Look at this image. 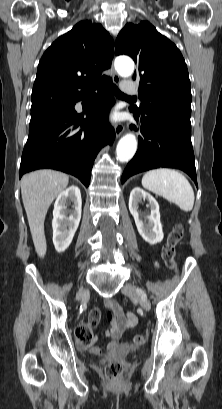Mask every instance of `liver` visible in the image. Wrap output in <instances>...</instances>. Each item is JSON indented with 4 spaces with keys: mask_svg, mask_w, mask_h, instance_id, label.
Instances as JSON below:
<instances>
[{
    "mask_svg": "<svg viewBox=\"0 0 222 409\" xmlns=\"http://www.w3.org/2000/svg\"><path fill=\"white\" fill-rule=\"evenodd\" d=\"M69 176L54 170H37L21 180L22 201L33 243L39 257L46 254L44 221L53 200L67 187Z\"/></svg>",
    "mask_w": 222,
    "mask_h": 409,
    "instance_id": "liver-1",
    "label": "liver"
}]
</instances>
